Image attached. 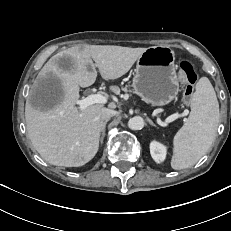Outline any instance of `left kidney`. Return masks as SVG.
Returning a JSON list of instances; mask_svg holds the SVG:
<instances>
[{
  "label": "left kidney",
  "instance_id": "5707ae66",
  "mask_svg": "<svg viewBox=\"0 0 231 231\" xmlns=\"http://www.w3.org/2000/svg\"><path fill=\"white\" fill-rule=\"evenodd\" d=\"M150 153L155 162L161 163L166 158V147L157 141L150 143Z\"/></svg>",
  "mask_w": 231,
  "mask_h": 231
}]
</instances>
